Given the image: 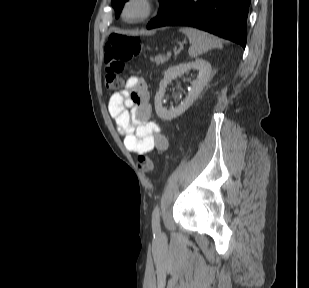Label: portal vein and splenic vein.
<instances>
[{"label": "portal vein and splenic vein", "instance_id": "18ae733b", "mask_svg": "<svg viewBox=\"0 0 309 288\" xmlns=\"http://www.w3.org/2000/svg\"><path fill=\"white\" fill-rule=\"evenodd\" d=\"M171 55H172V52H171V51H168V52H167V57H171Z\"/></svg>", "mask_w": 309, "mask_h": 288}]
</instances>
